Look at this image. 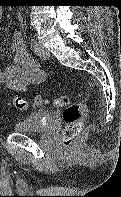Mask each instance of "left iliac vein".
I'll return each instance as SVG.
<instances>
[{
	"instance_id": "obj_1",
	"label": "left iliac vein",
	"mask_w": 121,
	"mask_h": 197,
	"mask_svg": "<svg viewBox=\"0 0 121 197\" xmlns=\"http://www.w3.org/2000/svg\"><path fill=\"white\" fill-rule=\"evenodd\" d=\"M36 53L37 55L43 59L46 60L49 58V51L47 49H45L42 45H40L39 43H37V49H36Z\"/></svg>"
}]
</instances>
